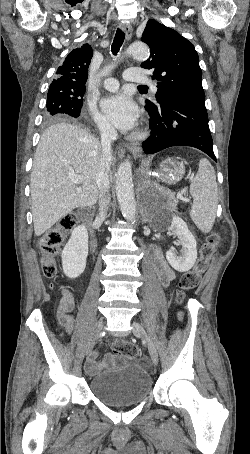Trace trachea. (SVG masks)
<instances>
[{"mask_svg":"<svg viewBox=\"0 0 250 454\" xmlns=\"http://www.w3.org/2000/svg\"><path fill=\"white\" fill-rule=\"evenodd\" d=\"M124 39H125V33L121 29L118 28L116 31L113 43H112V47H111L112 53L114 55H116L119 52V50L124 42ZM139 87L143 88V89L148 88L147 86H139Z\"/></svg>","mask_w":250,"mask_h":454,"instance_id":"3493384b","label":"trachea"}]
</instances>
